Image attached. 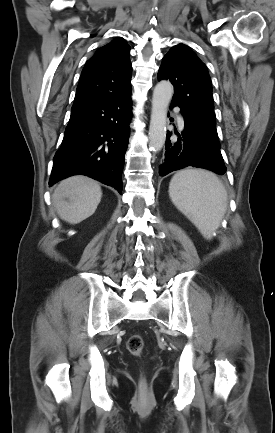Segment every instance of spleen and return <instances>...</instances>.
I'll list each match as a JSON object with an SVG mask.
<instances>
[{
  "label": "spleen",
  "instance_id": "1",
  "mask_svg": "<svg viewBox=\"0 0 275 433\" xmlns=\"http://www.w3.org/2000/svg\"><path fill=\"white\" fill-rule=\"evenodd\" d=\"M174 205L210 239L226 212L227 192L219 178L205 170L177 172L169 184Z\"/></svg>",
  "mask_w": 275,
  "mask_h": 433
}]
</instances>
